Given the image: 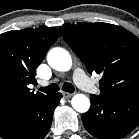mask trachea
I'll return each instance as SVG.
<instances>
[{"label": "trachea", "instance_id": "1", "mask_svg": "<svg viewBox=\"0 0 139 139\" xmlns=\"http://www.w3.org/2000/svg\"><path fill=\"white\" fill-rule=\"evenodd\" d=\"M39 90L49 95L56 93L59 90V86L53 83L47 87H40ZM62 90L69 93H73L75 88L71 83H64L62 86Z\"/></svg>", "mask_w": 139, "mask_h": 139}]
</instances>
